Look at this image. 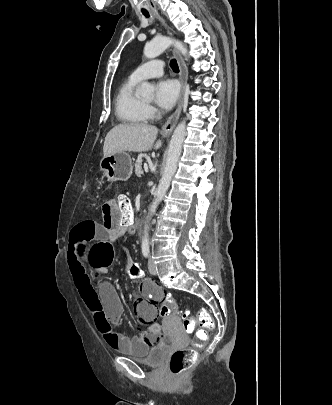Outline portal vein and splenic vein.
Wrapping results in <instances>:
<instances>
[{"instance_id": "portal-vein-and-splenic-vein-1", "label": "portal vein and splenic vein", "mask_w": 332, "mask_h": 405, "mask_svg": "<svg viewBox=\"0 0 332 405\" xmlns=\"http://www.w3.org/2000/svg\"><path fill=\"white\" fill-rule=\"evenodd\" d=\"M145 170H146V171L148 170V166H147V165L145 166Z\"/></svg>"}]
</instances>
